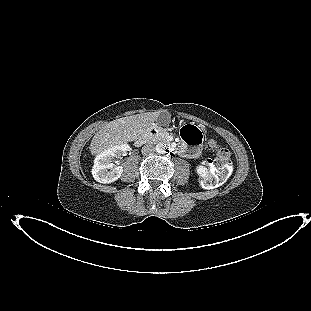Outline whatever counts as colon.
Listing matches in <instances>:
<instances>
[{
    "instance_id": "5ec220e1",
    "label": "colon",
    "mask_w": 311,
    "mask_h": 311,
    "mask_svg": "<svg viewBox=\"0 0 311 311\" xmlns=\"http://www.w3.org/2000/svg\"><path fill=\"white\" fill-rule=\"evenodd\" d=\"M183 138L191 144H199L201 140L200 132L195 131L191 126L182 127ZM207 148L214 152V158L210 161V174L202 179L203 184L221 185L232 173V161L227 148L218 145L215 141H210Z\"/></svg>"
}]
</instances>
